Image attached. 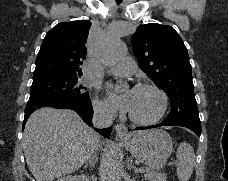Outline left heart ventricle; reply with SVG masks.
<instances>
[{"label": "left heart ventricle", "mask_w": 228, "mask_h": 181, "mask_svg": "<svg viewBox=\"0 0 228 181\" xmlns=\"http://www.w3.org/2000/svg\"><path fill=\"white\" fill-rule=\"evenodd\" d=\"M116 84L120 90L128 92L131 97L130 112L138 118L152 117L159 108L160 98L150 88L128 89L129 83L123 74L116 77Z\"/></svg>", "instance_id": "obj_1"}]
</instances>
